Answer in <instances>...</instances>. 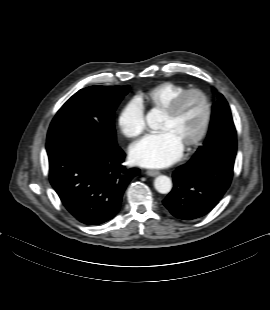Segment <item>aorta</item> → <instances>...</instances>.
Instances as JSON below:
<instances>
[{
	"label": "aorta",
	"mask_w": 270,
	"mask_h": 310,
	"mask_svg": "<svg viewBox=\"0 0 270 310\" xmlns=\"http://www.w3.org/2000/svg\"><path fill=\"white\" fill-rule=\"evenodd\" d=\"M147 123L150 128L155 129L158 126V122L160 121L159 116L154 113L150 112L146 116ZM155 189L161 194H167L172 189V181L168 176L160 175L156 177L154 181Z\"/></svg>",
	"instance_id": "1"
}]
</instances>
